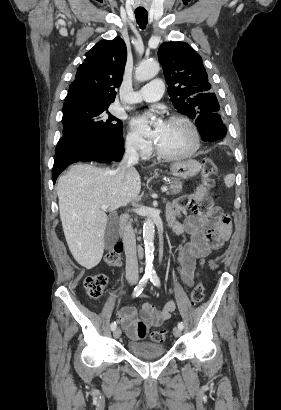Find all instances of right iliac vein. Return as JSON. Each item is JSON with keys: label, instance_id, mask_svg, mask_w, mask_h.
Returning <instances> with one entry per match:
<instances>
[{"label": "right iliac vein", "instance_id": "right-iliac-vein-1", "mask_svg": "<svg viewBox=\"0 0 281 410\" xmlns=\"http://www.w3.org/2000/svg\"><path fill=\"white\" fill-rule=\"evenodd\" d=\"M114 338H119L121 336V330L119 328L115 329L113 332Z\"/></svg>", "mask_w": 281, "mask_h": 410}]
</instances>
